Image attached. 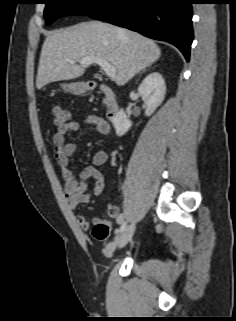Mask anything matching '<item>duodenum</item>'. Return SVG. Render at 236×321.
Here are the masks:
<instances>
[{
  "instance_id": "duodenum-1",
  "label": "duodenum",
  "mask_w": 236,
  "mask_h": 321,
  "mask_svg": "<svg viewBox=\"0 0 236 321\" xmlns=\"http://www.w3.org/2000/svg\"><path fill=\"white\" fill-rule=\"evenodd\" d=\"M93 88L99 89L105 98L106 114L109 119H114L119 112V104L115 91L105 83L92 82Z\"/></svg>"
}]
</instances>
